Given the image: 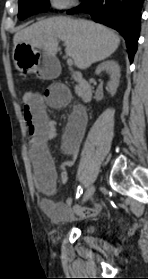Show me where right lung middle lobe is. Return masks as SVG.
I'll use <instances>...</instances> for the list:
<instances>
[{"label": "right lung middle lobe", "mask_w": 148, "mask_h": 279, "mask_svg": "<svg viewBox=\"0 0 148 279\" xmlns=\"http://www.w3.org/2000/svg\"><path fill=\"white\" fill-rule=\"evenodd\" d=\"M18 5L20 20L48 9L47 0H18Z\"/></svg>", "instance_id": "dd1d6c3e"}]
</instances>
